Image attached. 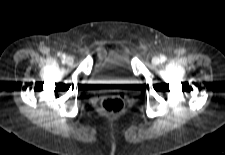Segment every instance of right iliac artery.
<instances>
[{
	"instance_id": "1",
	"label": "right iliac artery",
	"mask_w": 225,
	"mask_h": 155,
	"mask_svg": "<svg viewBox=\"0 0 225 155\" xmlns=\"http://www.w3.org/2000/svg\"><path fill=\"white\" fill-rule=\"evenodd\" d=\"M65 57H66L65 55H62V58H63V59H65Z\"/></svg>"
}]
</instances>
